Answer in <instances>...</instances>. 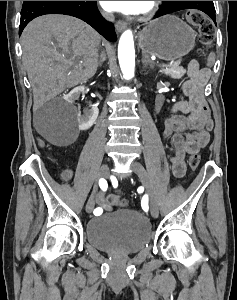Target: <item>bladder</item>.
Wrapping results in <instances>:
<instances>
[{
    "mask_svg": "<svg viewBox=\"0 0 237 300\" xmlns=\"http://www.w3.org/2000/svg\"><path fill=\"white\" fill-rule=\"evenodd\" d=\"M86 239L96 249L115 254H135L151 241L150 221L134 210H118L92 217L85 229Z\"/></svg>",
    "mask_w": 237,
    "mask_h": 300,
    "instance_id": "1",
    "label": "bladder"
}]
</instances>
